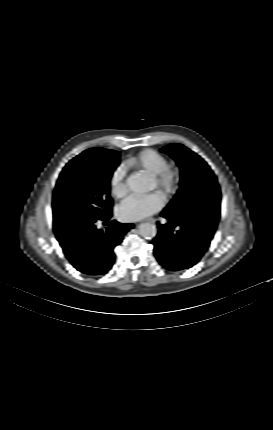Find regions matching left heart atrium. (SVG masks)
Instances as JSON below:
<instances>
[{
    "mask_svg": "<svg viewBox=\"0 0 273 430\" xmlns=\"http://www.w3.org/2000/svg\"><path fill=\"white\" fill-rule=\"evenodd\" d=\"M164 206V198L158 193L126 198L117 209L118 217L123 221H137L151 216Z\"/></svg>",
    "mask_w": 273,
    "mask_h": 430,
    "instance_id": "39dd6f15",
    "label": "left heart atrium"
}]
</instances>
